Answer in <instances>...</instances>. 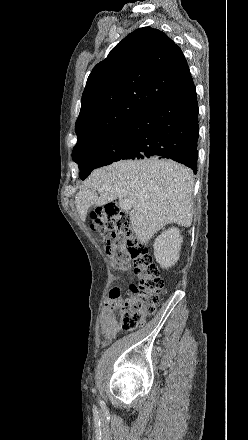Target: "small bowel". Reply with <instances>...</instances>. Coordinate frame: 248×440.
<instances>
[{
	"label": "small bowel",
	"instance_id": "small-bowel-1",
	"mask_svg": "<svg viewBox=\"0 0 248 440\" xmlns=\"http://www.w3.org/2000/svg\"><path fill=\"white\" fill-rule=\"evenodd\" d=\"M115 307L112 306L110 301L106 302L102 319H101V332L105 338L103 345H107L109 340L113 339L119 332V327L115 320Z\"/></svg>",
	"mask_w": 248,
	"mask_h": 440
}]
</instances>
